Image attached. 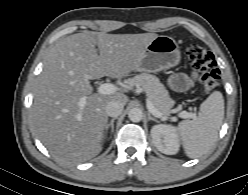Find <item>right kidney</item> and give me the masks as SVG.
I'll list each match as a JSON object with an SVG mask.
<instances>
[{
	"mask_svg": "<svg viewBox=\"0 0 248 195\" xmlns=\"http://www.w3.org/2000/svg\"><path fill=\"white\" fill-rule=\"evenodd\" d=\"M103 137H104L103 134L99 136L100 141L103 139Z\"/></svg>",
	"mask_w": 248,
	"mask_h": 195,
	"instance_id": "ca27d5eb",
	"label": "right kidney"
}]
</instances>
